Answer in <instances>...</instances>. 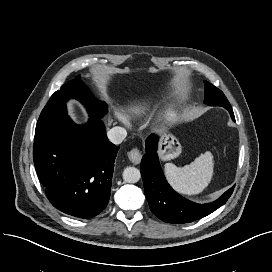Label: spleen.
I'll use <instances>...</instances> for the list:
<instances>
[{
	"instance_id": "obj_1",
	"label": "spleen",
	"mask_w": 272,
	"mask_h": 272,
	"mask_svg": "<svg viewBox=\"0 0 272 272\" xmlns=\"http://www.w3.org/2000/svg\"><path fill=\"white\" fill-rule=\"evenodd\" d=\"M213 168V155L207 151L183 167L166 163L164 172L169 184L176 192L184 195H196L201 193L210 183L213 177Z\"/></svg>"
}]
</instances>
